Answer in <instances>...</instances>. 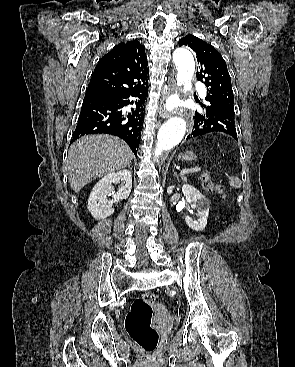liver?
<instances>
[{"mask_svg": "<svg viewBox=\"0 0 295 367\" xmlns=\"http://www.w3.org/2000/svg\"><path fill=\"white\" fill-rule=\"evenodd\" d=\"M133 158L129 146L110 135H89L75 141L66 161L69 183L74 192L98 177L128 166Z\"/></svg>", "mask_w": 295, "mask_h": 367, "instance_id": "liver-1", "label": "liver"}]
</instances>
